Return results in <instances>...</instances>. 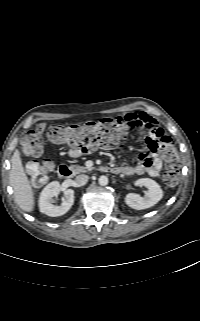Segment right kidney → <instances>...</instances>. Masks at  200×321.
Instances as JSON below:
<instances>
[{
    "label": "right kidney",
    "mask_w": 200,
    "mask_h": 321,
    "mask_svg": "<svg viewBox=\"0 0 200 321\" xmlns=\"http://www.w3.org/2000/svg\"><path fill=\"white\" fill-rule=\"evenodd\" d=\"M62 190L61 185L57 181L49 183L41 192L39 197L40 212L51 216L57 217L64 215L72 207L74 203V190H63L64 197L60 205L53 204V197L57 196Z\"/></svg>",
    "instance_id": "1"
}]
</instances>
